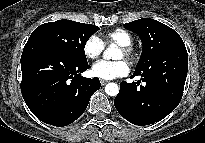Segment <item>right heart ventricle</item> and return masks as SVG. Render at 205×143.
Here are the masks:
<instances>
[{
    "mask_svg": "<svg viewBox=\"0 0 205 143\" xmlns=\"http://www.w3.org/2000/svg\"><path fill=\"white\" fill-rule=\"evenodd\" d=\"M102 42L104 45H132L133 37L128 31L117 28L104 33L102 35Z\"/></svg>",
    "mask_w": 205,
    "mask_h": 143,
    "instance_id": "e07e8e85",
    "label": "right heart ventricle"
}]
</instances>
